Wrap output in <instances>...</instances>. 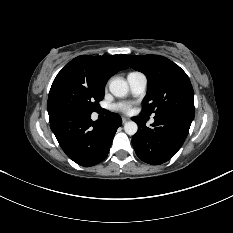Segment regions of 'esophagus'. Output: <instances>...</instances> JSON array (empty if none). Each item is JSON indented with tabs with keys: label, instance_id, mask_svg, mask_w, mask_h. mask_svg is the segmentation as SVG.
<instances>
[{
	"label": "esophagus",
	"instance_id": "34e87169",
	"mask_svg": "<svg viewBox=\"0 0 233 233\" xmlns=\"http://www.w3.org/2000/svg\"><path fill=\"white\" fill-rule=\"evenodd\" d=\"M127 121H129V118H127V117H122V123H123V124L126 123Z\"/></svg>",
	"mask_w": 233,
	"mask_h": 233
}]
</instances>
